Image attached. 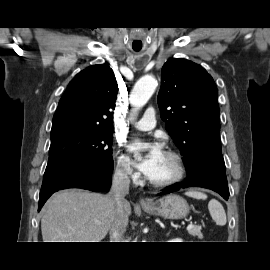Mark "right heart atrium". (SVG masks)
<instances>
[{
    "instance_id": "d8ad5b80",
    "label": "right heart atrium",
    "mask_w": 270,
    "mask_h": 270,
    "mask_svg": "<svg viewBox=\"0 0 270 270\" xmlns=\"http://www.w3.org/2000/svg\"><path fill=\"white\" fill-rule=\"evenodd\" d=\"M115 173L123 178L136 180L138 174L133 170L131 163L128 157L121 152V150H117L115 154Z\"/></svg>"
}]
</instances>
